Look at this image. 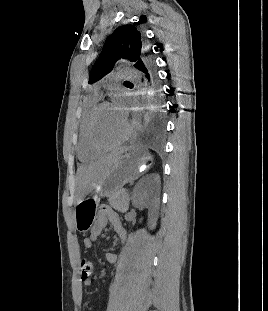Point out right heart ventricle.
Instances as JSON below:
<instances>
[{
  "mask_svg": "<svg viewBox=\"0 0 268 311\" xmlns=\"http://www.w3.org/2000/svg\"><path fill=\"white\" fill-rule=\"evenodd\" d=\"M98 103L97 97H90L84 106V109L80 116L79 123V136L77 143V153L81 161H90L97 158L100 155V152L93 149L87 139V120Z\"/></svg>",
  "mask_w": 268,
  "mask_h": 311,
  "instance_id": "1",
  "label": "right heart ventricle"
}]
</instances>
